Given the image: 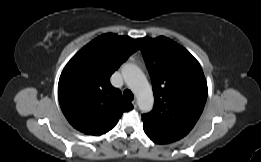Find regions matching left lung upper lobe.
<instances>
[{
	"instance_id": "5c2ea615",
	"label": "left lung upper lobe",
	"mask_w": 261,
	"mask_h": 162,
	"mask_svg": "<svg viewBox=\"0 0 261 162\" xmlns=\"http://www.w3.org/2000/svg\"><path fill=\"white\" fill-rule=\"evenodd\" d=\"M154 93L153 110L143 125L157 135L180 140L198 121L207 99V82L199 62L169 38H139Z\"/></svg>"
}]
</instances>
